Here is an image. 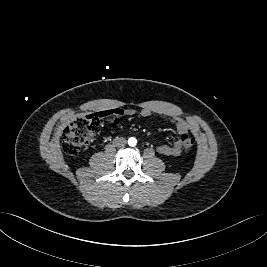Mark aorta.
<instances>
[{
  "mask_svg": "<svg viewBox=\"0 0 267 267\" xmlns=\"http://www.w3.org/2000/svg\"><path fill=\"white\" fill-rule=\"evenodd\" d=\"M128 144H129V146H136V144H137V140H136V138H134V137H131V138H129L128 139Z\"/></svg>",
  "mask_w": 267,
  "mask_h": 267,
  "instance_id": "aorta-1",
  "label": "aorta"
}]
</instances>
